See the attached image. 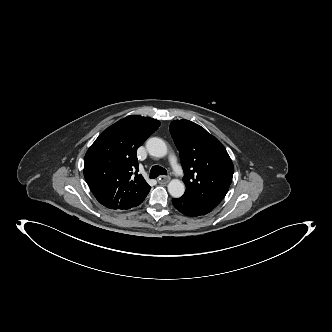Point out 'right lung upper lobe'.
Masks as SVG:
<instances>
[{
	"label": "right lung upper lobe",
	"mask_w": 332,
	"mask_h": 332,
	"mask_svg": "<svg viewBox=\"0 0 332 332\" xmlns=\"http://www.w3.org/2000/svg\"><path fill=\"white\" fill-rule=\"evenodd\" d=\"M159 126L153 118L127 116L105 129L88 149L84 177L100 204L124 210L145 199L150 186L136 174V151Z\"/></svg>",
	"instance_id": "1"
}]
</instances>
